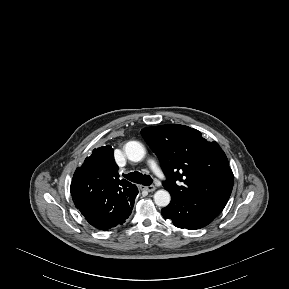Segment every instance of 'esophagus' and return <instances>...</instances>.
Here are the masks:
<instances>
[{
	"mask_svg": "<svg viewBox=\"0 0 289 289\" xmlns=\"http://www.w3.org/2000/svg\"><path fill=\"white\" fill-rule=\"evenodd\" d=\"M142 188L148 192H153L156 189V187L154 185L142 186Z\"/></svg>",
	"mask_w": 289,
	"mask_h": 289,
	"instance_id": "obj_1",
	"label": "esophagus"
}]
</instances>
